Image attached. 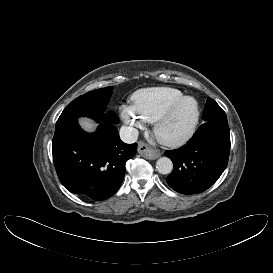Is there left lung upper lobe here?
<instances>
[{"label":"left lung upper lobe","instance_id":"5c2ea615","mask_svg":"<svg viewBox=\"0 0 273 273\" xmlns=\"http://www.w3.org/2000/svg\"><path fill=\"white\" fill-rule=\"evenodd\" d=\"M202 119L205 123H214L220 121H227L225 112L221 107L211 98H208L202 114Z\"/></svg>","mask_w":273,"mask_h":273}]
</instances>
